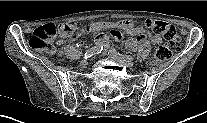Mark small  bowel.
Masks as SVG:
<instances>
[{
    "instance_id": "small-bowel-1",
    "label": "small bowel",
    "mask_w": 207,
    "mask_h": 123,
    "mask_svg": "<svg viewBox=\"0 0 207 123\" xmlns=\"http://www.w3.org/2000/svg\"><path fill=\"white\" fill-rule=\"evenodd\" d=\"M119 30L124 31L128 35L136 36L126 42V47L131 51L137 50L140 45L145 43L147 38L154 45H160L162 43L161 37L151 33L146 26L136 25L131 20L93 22L89 26L83 28L82 33H98L95 38L96 44L108 46L109 37L102 33V31H110L116 40H120L121 36H118V34H120ZM58 44H63V40H59Z\"/></svg>"
}]
</instances>
